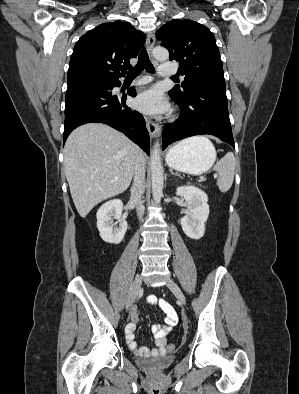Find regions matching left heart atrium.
Returning a JSON list of instances; mask_svg holds the SVG:
<instances>
[{
  "instance_id": "obj_1",
  "label": "left heart atrium",
  "mask_w": 299,
  "mask_h": 394,
  "mask_svg": "<svg viewBox=\"0 0 299 394\" xmlns=\"http://www.w3.org/2000/svg\"><path fill=\"white\" fill-rule=\"evenodd\" d=\"M134 106L143 113L158 115L167 109V104L161 91L151 88L141 93L134 101Z\"/></svg>"
}]
</instances>
